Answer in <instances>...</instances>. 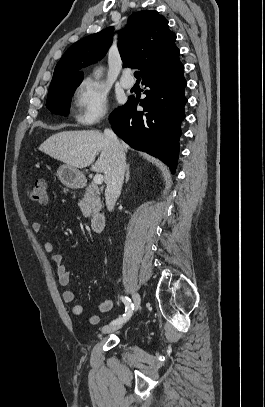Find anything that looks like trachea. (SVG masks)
Here are the masks:
<instances>
[{
	"instance_id": "obj_1",
	"label": "trachea",
	"mask_w": 265,
	"mask_h": 407,
	"mask_svg": "<svg viewBox=\"0 0 265 407\" xmlns=\"http://www.w3.org/2000/svg\"><path fill=\"white\" fill-rule=\"evenodd\" d=\"M134 76H135V78H136L137 80H139L140 77H141V72L136 71V72L134 73Z\"/></svg>"
}]
</instances>
